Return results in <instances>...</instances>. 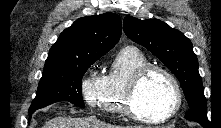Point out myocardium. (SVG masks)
Segmentation results:
<instances>
[{"mask_svg":"<svg viewBox=\"0 0 221 128\" xmlns=\"http://www.w3.org/2000/svg\"><path fill=\"white\" fill-rule=\"evenodd\" d=\"M154 72H161L168 79L173 92V103L165 113L159 116L150 117L141 113L137 109L135 101L141 84L149 75ZM181 101L182 97L180 86L174 75L168 69L162 66L148 64L138 69L128 83L125 95V111L128 116L137 121L158 124L174 117L181 107Z\"/></svg>","mask_w":221,"mask_h":128,"instance_id":"myocardium-1","label":"myocardium"}]
</instances>
